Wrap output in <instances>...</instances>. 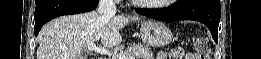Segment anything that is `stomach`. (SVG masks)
Returning a JSON list of instances; mask_svg holds the SVG:
<instances>
[{"label":"stomach","mask_w":261,"mask_h":59,"mask_svg":"<svg viewBox=\"0 0 261 59\" xmlns=\"http://www.w3.org/2000/svg\"><path fill=\"white\" fill-rule=\"evenodd\" d=\"M140 35L144 43L153 47H163L170 44L173 35L162 22L146 20L141 22Z\"/></svg>","instance_id":"1"}]
</instances>
